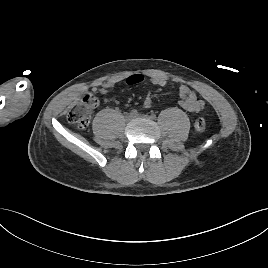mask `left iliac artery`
Returning a JSON list of instances; mask_svg holds the SVG:
<instances>
[{"label":"left iliac artery","instance_id":"1","mask_svg":"<svg viewBox=\"0 0 268 268\" xmlns=\"http://www.w3.org/2000/svg\"><path fill=\"white\" fill-rule=\"evenodd\" d=\"M151 119H156V115L155 114H151Z\"/></svg>","mask_w":268,"mask_h":268}]
</instances>
